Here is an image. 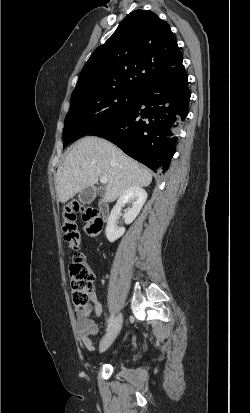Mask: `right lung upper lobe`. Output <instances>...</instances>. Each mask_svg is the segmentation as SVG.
Segmentation results:
<instances>
[{
  "label": "right lung upper lobe",
  "instance_id": "right-lung-upper-lobe-1",
  "mask_svg": "<svg viewBox=\"0 0 250 413\" xmlns=\"http://www.w3.org/2000/svg\"><path fill=\"white\" fill-rule=\"evenodd\" d=\"M183 56L170 26L148 10H135L91 54L72 94L130 87L140 90L185 72Z\"/></svg>",
  "mask_w": 250,
  "mask_h": 413
}]
</instances>
